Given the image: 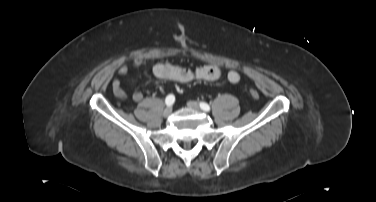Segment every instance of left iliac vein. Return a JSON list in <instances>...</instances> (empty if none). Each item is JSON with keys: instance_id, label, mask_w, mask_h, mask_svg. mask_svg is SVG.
<instances>
[{"instance_id": "obj_1", "label": "left iliac vein", "mask_w": 376, "mask_h": 202, "mask_svg": "<svg viewBox=\"0 0 376 202\" xmlns=\"http://www.w3.org/2000/svg\"><path fill=\"white\" fill-rule=\"evenodd\" d=\"M187 106L193 110H196V111H199L200 110V106L198 105L197 102L195 101H188L187 102Z\"/></svg>"}]
</instances>
